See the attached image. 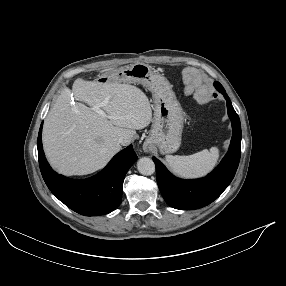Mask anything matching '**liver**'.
I'll return each mask as SVG.
<instances>
[{
    "label": "liver",
    "instance_id": "liver-1",
    "mask_svg": "<svg viewBox=\"0 0 286 286\" xmlns=\"http://www.w3.org/2000/svg\"><path fill=\"white\" fill-rule=\"evenodd\" d=\"M82 103L70 105V98ZM100 107L111 118L93 110ZM152 120L147 96L139 88L107 81L78 78L72 90L64 88L47 115L43 127V146L52 167L65 175H85L103 168L120 151V137L130 144L136 134Z\"/></svg>",
    "mask_w": 286,
    "mask_h": 286
}]
</instances>
